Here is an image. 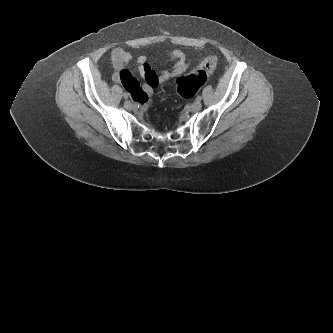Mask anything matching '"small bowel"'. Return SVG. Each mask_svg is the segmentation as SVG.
<instances>
[{"label":"small bowel","instance_id":"1","mask_svg":"<svg viewBox=\"0 0 333 333\" xmlns=\"http://www.w3.org/2000/svg\"><path fill=\"white\" fill-rule=\"evenodd\" d=\"M168 56L174 61V65L171 69L160 72H156L151 67L146 56L141 55L137 58V71L143 79V86L140 88L136 78L127 69V65L132 59L131 54L121 48H115L111 52V60L115 69L113 79L121 82L136 102L145 105L159 85L184 74L188 68V61L183 51L172 49L168 52Z\"/></svg>","mask_w":333,"mask_h":333}]
</instances>
